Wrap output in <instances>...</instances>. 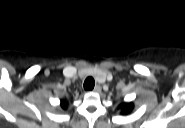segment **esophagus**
<instances>
[{"mask_svg": "<svg viewBox=\"0 0 185 128\" xmlns=\"http://www.w3.org/2000/svg\"><path fill=\"white\" fill-rule=\"evenodd\" d=\"M102 88L99 85H96L93 89L94 92H101Z\"/></svg>", "mask_w": 185, "mask_h": 128, "instance_id": "obj_1", "label": "esophagus"}]
</instances>
